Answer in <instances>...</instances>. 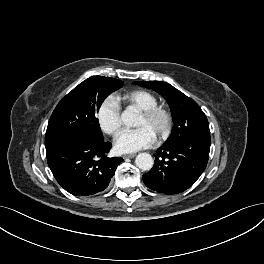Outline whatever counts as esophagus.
I'll list each match as a JSON object with an SVG mask.
<instances>
[{"mask_svg":"<svg viewBox=\"0 0 264 264\" xmlns=\"http://www.w3.org/2000/svg\"><path fill=\"white\" fill-rule=\"evenodd\" d=\"M136 156V154H125V155H123V158L124 159H132V158H134Z\"/></svg>","mask_w":264,"mask_h":264,"instance_id":"34e87169","label":"esophagus"}]
</instances>
